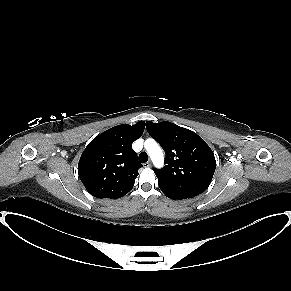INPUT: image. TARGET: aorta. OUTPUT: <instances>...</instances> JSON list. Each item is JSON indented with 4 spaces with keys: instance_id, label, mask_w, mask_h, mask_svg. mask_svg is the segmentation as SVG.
<instances>
[{
    "instance_id": "obj_1",
    "label": "aorta",
    "mask_w": 291,
    "mask_h": 291,
    "mask_svg": "<svg viewBox=\"0 0 291 291\" xmlns=\"http://www.w3.org/2000/svg\"><path fill=\"white\" fill-rule=\"evenodd\" d=\"M149 156L157 168L162 167L164 162L163 152L159 144L154 139H148L145 142Z\"/></svg>"
}]
</instances>
